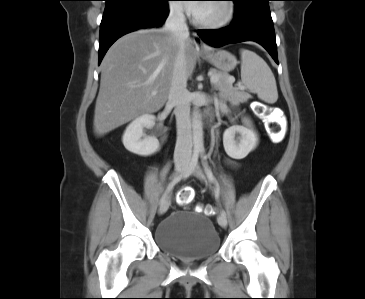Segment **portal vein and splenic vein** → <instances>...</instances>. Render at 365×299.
Returning <instances> with one entry per match:
<instances>
[{
  "label": "portal vein and splenic vein",
  "mask_w": 365,
  "mask_h": 299,
  "mask_svg": "<svg viewBox=\"0 0 365 299\" xmlns=\"http://www.w3.org/2000/svg\"><path fill=\"white\" fill-rule=\"evenodd\" d=\"M210 75H211V78H210L211 83L215 84V83H217L219 81V77L218 76L212 75L211 73H210ZM152 94L155 95L156 93L153 92Z\"/></svg>",
  "instance_id": "1"
}]
</instances>
